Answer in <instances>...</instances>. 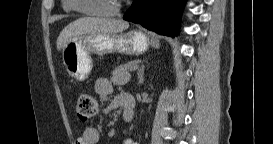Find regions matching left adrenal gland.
<instances>
[{"mask_svg":"<svg viewBox=\"0 0 273 144\" xmlns=\"http://www.w3.org/2000/svg\"><path fill=\"white\" fill-rule=\"evenodd\" d=\"M144 68L145 66L142 65L139 69H138V79H139V84H142L144 82Z\"/></svg>","mask_w":273,"mask_h":144,"instance_id":"a2214340","label":"left adrenal gland"}]
</instances>
